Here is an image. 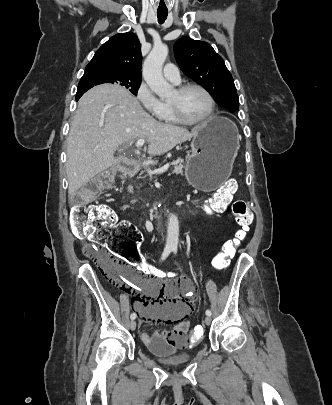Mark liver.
<instances>
[{"instance_id": "1", "label": "liver", "mask_w": 332, "mask_h": 405, "mask_svg": "<svg viewBox=\"0 0 332 405\" xmlns=\"http://www.w3.org/2000/svg\"><path fill=\"white\" fill-rule=\"evenodd\" d=\"M199 127L165 124L151 117L126 89L104 84L87 91L78 102L67 137L68 193L114 164L120 145L147 139L149 155H161L196 136Z\"/></svg>"}]
</instances>
